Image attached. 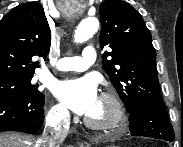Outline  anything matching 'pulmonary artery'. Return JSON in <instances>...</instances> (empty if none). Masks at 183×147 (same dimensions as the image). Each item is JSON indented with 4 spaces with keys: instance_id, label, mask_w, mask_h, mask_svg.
Wrapping results in <instances>:
<instances>
[{
    "instance_id": "obj_1",
    "label": "pulmonary artery",
    "mask_w": 183,
    "mask_h": 147,
    "mask_svg": "<svg viewBox=\"0 0 183 147\" xmlns=\"http://www.w3.org/2000/svg\"><path fill=\"white\" fill-rule=\"evenodd\" d=\"M96 50L92 46L83 49L81 56L65 57L58 61L56 69L59 71H85L96 60Z\"/></svg>"
}]
</instances>
